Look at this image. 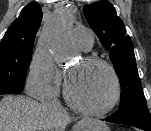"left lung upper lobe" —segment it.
<instances>
[{
    "instance_id": "1",
    "label": "left lung upper lobe",
    "mask_w": 151,
    "mask_h": 131,
    "mask_svg": "<svg viewBox=\"0 0 151 131\" xmlns=\"http://www.w3.org/2000/svg\"><path fill=\"white\" fill-rule=\"evenodd\" d=\"M83 11L101 44L110 50V59L121 84L119 109L133 103L147 105L137 71L133 43L126 35L124 23L117 16L113 5L108 1H99L85 5Z\"/></svg>"
}]
</instances>
